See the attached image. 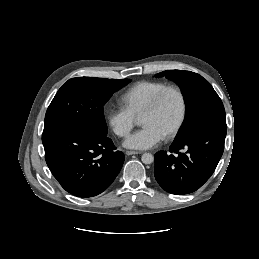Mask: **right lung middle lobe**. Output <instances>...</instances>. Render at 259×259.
Segmentation results:
<instances>
[{"label":"right lung middle lobe","instance_id":"right-lung-middle-lobe-1","mask_svg":"<svg viewBox=\"0 0 259 259\" xmlns=\"http://www.w3.org/2000/svg\"><path fill=\"white\" fill-rule=\"evenodd\" d=\"M130 81L95 77L68 80L47 109L44 129L79 125L107 134L103 106L114 92Z\"/></svg>","mask_w":259,"mask_h":259}]
</instances>
